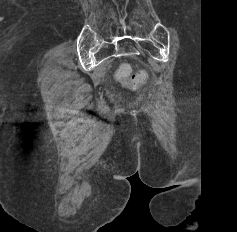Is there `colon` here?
I'll use <instances>...</instances> for the list:
<instances>
[{
    "mask_svg": "<svg viewBox=\"0 0 237 232\" xmlns=\"http://www.w3.org/2000/svg\"><path fill=\"white\" fill-rule=\"evenodd\" d=\"M117 78L127 87L135 88L144 80L145 74L141 72L137 75H132L130 67L125 64L118 69Z\"/></svg>",
    "mask_w": 237,
    "mask_h": 232,
    "instance_id": "1",
    "label": "colon"
}]
</instances>
